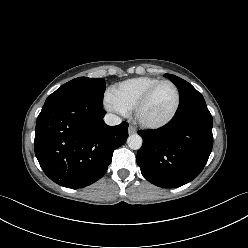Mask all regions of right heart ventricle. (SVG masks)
Returning <instances> with one entry per match:
<instances>
[{
    "label": "right heart ventricle",
    "mask_w": 248,
    "mask_h": 248,
    "mask_svg": "<svg viewBox=\"0 0 248 248\" xmlns=\"http://www.w3.org/2000/svg\"><path fill=\"white\" fill-rule=\"evenodd\" d=\"M160 79L154 77H137L123 81L111 89V97L125 111L134 110L142 95Z\"/></svg>",
    "instance_id": "e07e8e85"
}]
</instances>
